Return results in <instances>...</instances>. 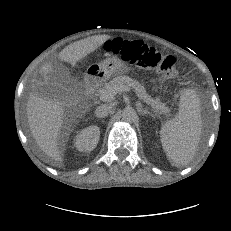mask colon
Wrapping results in <instances>:
<instances>
[{
  "instance_id": "5ec220e1",
  "label": "colon",
  "mask_w": 231,
  "mask_h": 231,
  "mask_svg": "<svg viewBox=\"0 0 231 231\" xmlns=\"http://www.w3.org/2000/svg\"><path fill=\"white\" fill-rule=\"evenodd\" d=\"M104 48L137 67L157 70L168 79H175L178 75L177 60L173 55L162 54L141 41L115 38L108 40Z\"/></svg>"
}]
</instances>
